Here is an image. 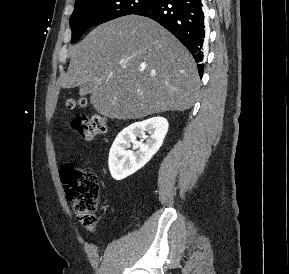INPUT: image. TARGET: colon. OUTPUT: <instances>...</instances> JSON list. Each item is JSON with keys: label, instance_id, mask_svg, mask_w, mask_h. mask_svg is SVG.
I'll list each match as a JSON object with an SVG mask.
<instances>
[{"label": "colon", "instance_id": "obj_1", "mask_svg": "<svg viewBox=\"0 0 289 274\" xmlns=\"http://www.w3.org/2000/svg\"><path fill=\"white\" fill-rule=\"evenodd\" d=\"M66 105L69 109L84 107L86 100L83 98H68ZM73 127L85 140H93L108 130L105 117L93 115L77 118ZM61 180L66 197L73 205L74 212L79 221L87 229H94L96 213L99 204V183L96 175L87 168H79L68 163L60 171Z\"/></svg>", "mask_w": 289, "mask_h": 274}]
</instances>
